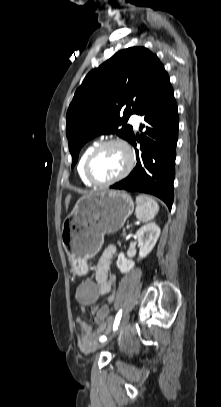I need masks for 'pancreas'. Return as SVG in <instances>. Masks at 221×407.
Here are the masks:
<instances>
[{
  "instance_id": "obj_1",
  "label": "pancreas",
  "mask_w": 221,
  "mask_h": 407,
  "mask_svg": "<svg viewBox=\"0 0 221 407\" xmlns=\"http://www.w3.org/2000/svg\"><path fill=\"white\" fill-rule=\"evenodd\" d=\"M123 236H125L126 235V233H125V231H123V234H122Z\"/></svg>"
}]
</instances>
